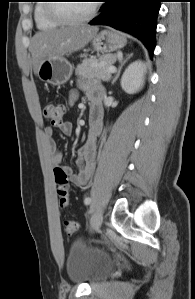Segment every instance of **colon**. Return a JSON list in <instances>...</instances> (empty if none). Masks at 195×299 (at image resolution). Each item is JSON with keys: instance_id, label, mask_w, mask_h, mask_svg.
<instances>
[{"instance_id": "colon-1", "label": "colon", "mask_w": 195, "mask_h": 299, "mask_svg": "<svg viewBox=\"0 0 195 299\" xmlns=\"http://www.w3.org/2000/svg\"><path fill=\"white\" fill-rule=\"evenodd\" d=\"M43 113L53 126H60L66 113V105L63 102H49L44 106ZM54 177L59 205L62 209H66L69 205L67 174L60 167H56ZM64 227L67 233L73 234L78 231L79 224L74 220H66Z\"/></svg>"}]
</instances>
